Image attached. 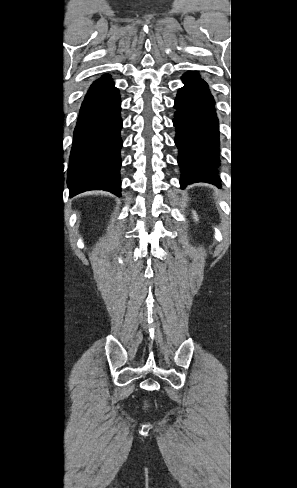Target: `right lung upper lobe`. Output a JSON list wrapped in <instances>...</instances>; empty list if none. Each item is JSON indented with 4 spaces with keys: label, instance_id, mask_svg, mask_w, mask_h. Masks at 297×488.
I'll list each match as a JSON object with an SVG mask.
<instances>
[{
    "label": "right lung upper lobe",
    "instance_id": "cb5924a9",
    "mask_svg": "<svg viewBox=\"0 0 297 488\" xmlns=\"http://www.w3.org/2000/svg\"><path fill=\"white\" fill-rule=\"evenodd\" d=\"M108 78H110V75H103L100 79L96 80L90 87L89 89V92L93 89H95L96 87H98L100 84H102L105 80H107Z\"/></svg>",
    "mask_w": 297,
    "mask_h": 488
}]
</instances>
